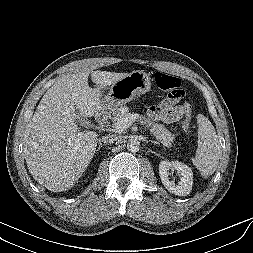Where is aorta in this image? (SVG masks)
<instances>
[{"label": "aorta", "mask_w": 253, "mask_h": 253, "mask_svg": "<svg viewBox=\"0 0 253 253\" xmlns=\"http://www.w3.org/2000/svg\"><path fill=\"white\" fill-rule=\"evenodd\" d=\"M127 149L130 152H137L140 149V142L138 141V139L133 138V139H129L127 142Z\"/></svg>", "instance_id": "aorta-1"}]
</instances>
